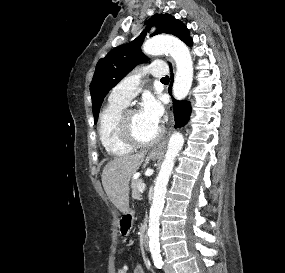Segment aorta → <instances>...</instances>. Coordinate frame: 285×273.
<instances>
[{"label": "aorta", "instance_id": "obj_1", "mask_svg": "<svg viewBox=\"0 0 285 273\" xmlns=\"http://www.w3.org/2000/svg\"><path fill=\"white\" fill-rule=\"evenodd\" d=\"M147 55L157 56L169 53L176 63V75L173 84V95L176 99H184L191 88L193 80V61L189 48L179 39L170 36H156L143 45ZM184 144L183 135L175 132L171 135L165 159L155 179L153 201L149 217V247L152 255L160 253L159 219L164 206L167 184L171 176L175 159Z\"/></svg>", "mask_w": 285, "mask_h": 273}]
</instances>
